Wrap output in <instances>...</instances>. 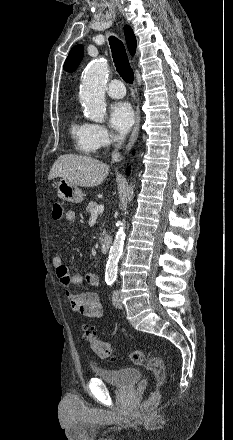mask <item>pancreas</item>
<instances>
[{
	"label": "pancreas",
	"mask_w": 233,
	"mask_h": 440,
	"mask_svg": "<svg viewBox=\"0 0 233 440\" xmlns=\"http://www.w3.org/2000/svg\"><path fill=\"white\" fill-rule=\"evenodd\" d=\"M97 206H98V204H97L96 202H90V203L87 205V207H86V212H87L88 214H91V215H92L94 209H95ZM104 234H105V231H103V233H102L101 235H104Z\"/></svg>",
	"instance_id": "pancreas-1"
}]
</instances>
